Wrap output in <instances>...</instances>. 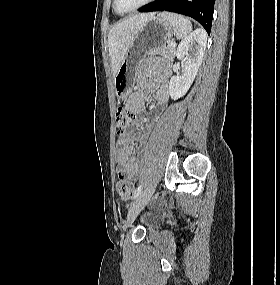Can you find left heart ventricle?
I'll use <instances>...</instances> for the list:
<instances>
[{
    "mask_svg": "<svg viewBox=\"0 0 280 285\" xmlns=\"http://www.w3.org/2000/svg\"><path fill=\"white\" fill-rule=\"evenodd\" d=\"M144 0H118V8L121 11H127L138 6Z\"/></svg>",
    "mask_w": 280,
    "mask_h": 285,
    "instance_id": "obj_1",
    "label": "left heart ventricle"
}]
</instances>
